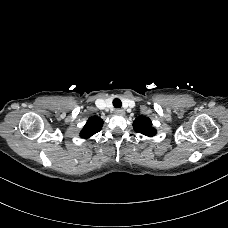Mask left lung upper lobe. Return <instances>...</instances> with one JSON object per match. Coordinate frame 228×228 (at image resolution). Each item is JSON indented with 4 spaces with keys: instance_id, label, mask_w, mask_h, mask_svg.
I'll use <instances>...</instances> for the list:
<instances>
[{
    "instance_id": "1",
    "label": "left lung upper lobe",
    "mask_w": 228,
    "mask_h": 228,
    "mask_svg": "<svg viewBox=\"0 0 228 228\" xmlns=\"http://www.w3.org/2000/svg\"><path fill=\"white\" fill-rule=\"evenodd\" d=\"M134 130L138 133L152 137L156 134V130L152 127V122L148 117L139 116L133 123Z\"/></svg>"
}]
</instances>
